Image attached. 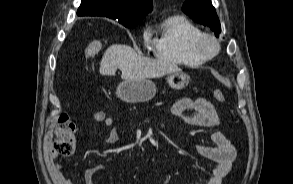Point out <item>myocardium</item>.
<instances>
[{"instance_id":"f54148a6","label":"myocardium","mask_w":293,"mask_h":184,"mask_svg":"<svg viewBox=\"0 0 293 184\" xmlns=\"http://www.w3.org/2000/svg\"><path fill=\"white\" fill-rule=\"evenodd\" d=\"M193 48L200 56L210 59L218 54L220 44L214 36L208 33H201L194 39Z\"/></svg>"}]
</instances>
